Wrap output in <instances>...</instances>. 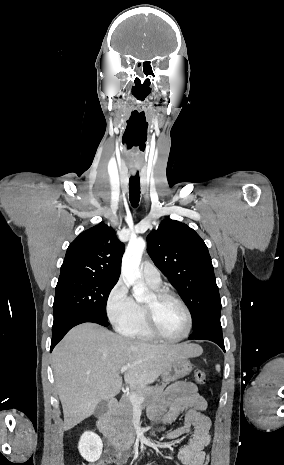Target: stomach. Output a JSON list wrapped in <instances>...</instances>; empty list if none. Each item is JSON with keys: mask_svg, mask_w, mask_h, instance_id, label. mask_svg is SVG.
<instances>
[{"mask_svg": "<svg viewBox=\"0 0 284 465\" xmlns=\"http://www.w3.org/2000/svg\"><path fill=\"white\" fill-rule=\"evenodd\" d=\"M193 371V365L188 361V359H178L175 363H172L169 369L164 371L162 377L165 383H170V381H176V379H181V377H186Z\"/></svg>", "mask_w": 284, "mask_h": 465, "instance_id": "stomach-1", "label": "stomach"}]
</instances>
